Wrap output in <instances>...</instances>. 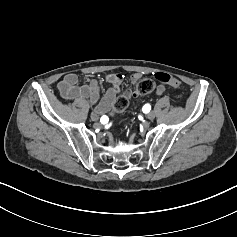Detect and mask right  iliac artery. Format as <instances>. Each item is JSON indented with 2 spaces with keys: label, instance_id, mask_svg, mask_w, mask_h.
Segmentation results:
<instances>
[{
  "label": "right iliac artery",
  "instance_id": "82829eb1",
  "mask_svg": "<svg viewBox=\"0 0 237 237\" xmlns=\"http://www.w3.org/2000/svg\"><path fill=\"white\" fill-rule=\"evenodd\" d=\"M102 119L108 120V117L106 115L102 116L100 122H102Z\"/></svg>",
  "mask_w": 237,
  "mask_h": 237
}]
</instances>
